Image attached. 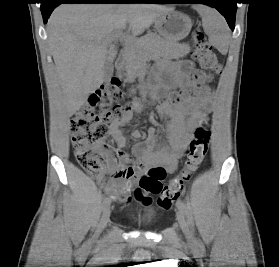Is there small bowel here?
I'll return each instance as SVG.
<instances>
[{
    "instance_id": "obj_1",
    "label": "small bowel",
    "mask_w": 279,
    "mask_h": 267,
    "mask_svg": "<svg viewBox=\"0 0 279 267\" xmlns=\"http://www.w3.org/2000/svg\"><path fill=\"white\" fill-rule=\"evenodd\" d=\"M192 69L193 64L187 60L158 64L157 83L153 87V91L161 93L168 88L188 87ZM160 74H163L164 77L160 78ZM211 93L212 88L204 86L193 97L186 98L181 104L173 105L164 102L160 105L159 114L169 119L167 143L162 147L156 146L158 133L154 127L148 129L147 136L142 141H140L143 139L142 133L139 130L132 131L131 138L139 141L133 147V154L136 157L133 176L121 178L114 174V170L120 166V163L130 161V156L127 153L122 150L117 153H113L110 150L107 151V167L111 177L108 181H103L102 178L100 180L109 198L119 203L130 201L131 191L136 183V168L139 166L160 168L164 173V177L177 169L180 157L210 105ZM143 109L142 104L135 103L134 107L121 120L111 123L110 134L119 147L122 148L127 144L123 127L131 121L134 114L141 113Z\"/></svg>"
}]
</instances>
